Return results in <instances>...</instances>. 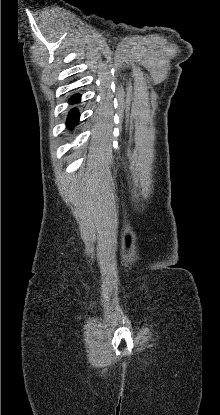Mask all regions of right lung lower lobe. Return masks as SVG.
<instances>
[{"mask_svg": "<svg viewBox=\"0 0 220 415\" xmlns=\"http://www.w3.org/2000/svg\"><path fill=\"white\" fill-rule=\"evenodd\" d=\"M80 101V95H74L73 97L70 98V103H78ZM79 119V113L77 109H72L69 112L68 118H67V126L69 128L73 127L74 125L77 124Z\"/></svg>", "mask_w": 220, "mask_h": 415, "instance_id": "right-lung-lower-lobe-1", "label": "right lung lower lobe"}]
</instances>
